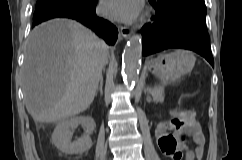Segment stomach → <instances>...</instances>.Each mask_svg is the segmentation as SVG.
Instances as JSON below:
<instances>
[{
  "label": "stomach",
  "mask_w": 242,
  "mask_h": 160,
  "mask_svg": "<svg viewBox=\"0 0 242 160\" xmlns=\"http://www.w3.org/2000/svg\"><path fill=\"white\" fill-rule=\"evenodd\" d=\"M195 64V57L187 50H176L168 55H161L152 60L149 70L162 82H169L178 75L188 73Z\"/></svg>",
  "instance_id": "obj_1"
}]
</instances>
